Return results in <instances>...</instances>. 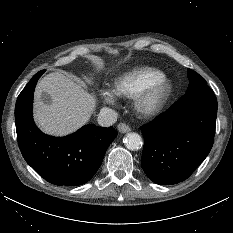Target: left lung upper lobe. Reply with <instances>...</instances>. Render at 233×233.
<instances>
[{
    "mask_svg": "<svg viewBox=\"0 0 233 233\" xmlns=\"http://www.w3.org/2000/svg\"><path fill=\"white\" fill-rule=\"evenodd\" d=\"M187 71L190 83L186 93L210 89L209 86L206 84V81L198 73L191 69H188Z\"/></svg>",
    "mask_w": 233,
    "mask_h": 233,
    "instance_id": "5c2ea615",
    "label": "left lung upper lobe"
}]
</instances>
